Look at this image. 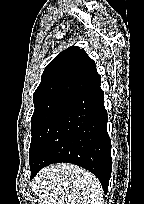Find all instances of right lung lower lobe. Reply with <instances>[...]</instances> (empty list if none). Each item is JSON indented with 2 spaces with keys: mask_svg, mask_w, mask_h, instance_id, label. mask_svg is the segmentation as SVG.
<instances>
[{
  "mask_svg": "<svg viewBox=\"0 0 144 204\" xmlns=\"http://www.w3.org/2000/svg\"><path fill=\"white\" fill-rule=\"evenodd\" d=\"M103 95L99 85L74 98L30 166L31 179L49 164L69 162L92 172L107 193L112 160Z\"/></svg>",
  "mask_w": 144,
  "mask_h": 204,
  "instance_id": "obj_1",
  "label": "right lung lower lobe"
}]
</instances>
